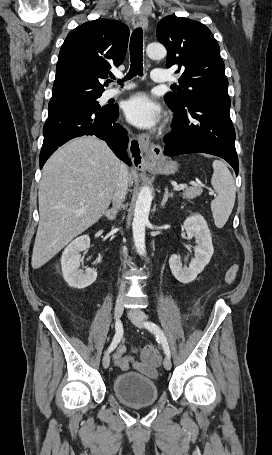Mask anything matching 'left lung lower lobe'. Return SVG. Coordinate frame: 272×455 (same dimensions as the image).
<instances>
[{"label":"left lung lower lobe","mask_w":272,"mask_h":455,"mask_svg":"<svg viewBox=\"0 0 272 455\" xmlns=\"http://www.w3.org/2000/svg\"><path fill=\"white\" fill-rule=\"evenodd\" d=\"M230 97L205 96L172 110V131L164 137V154L207 153L225 159L238 174ZM171 108V107H170Z\"/></svg>","instance_id":"left-lung-lower-lobe-1"}]
</instances>
